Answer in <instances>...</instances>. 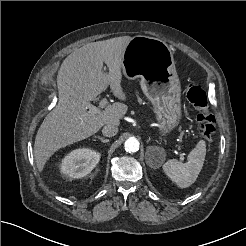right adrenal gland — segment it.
<instances>
[{"instance_id": "1", "label": "right adrenal gland", "mask_w": 246, "mask_h": 246, "mask_svg": "<svg viewBox=\"0 0 246 246\" xmlns=\"http://www.w3.org/2000/svg\"><path fill=\"white\" fill-rule=\"evenodd\" d=\"M94 138H98V139L101 140V142H103V143L109 142V139H105V138H103V137H101V136H98V135H95Z\"/></svg>"}]
</instances>
